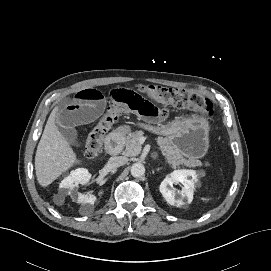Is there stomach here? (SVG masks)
I'll return each instance as SVG.
<instances>
[{"mask_svg": "<svg viewBox=\"0 0 271 271\" xmlns=\"http://www.w3.org/2000/svg\"><path fill=\"white\" fill-rule=\"evenodd\" d=\"M141 127L148 128L145 124ZM208 121L197 115L183 116L169 122L161 130L170 144L189 160L202 158L209 148Z\"/></svg>", "mask_w": 271, "mask_h": 271, "instance_id": "stomach-1", "label": "stomach"}]
</instances>
